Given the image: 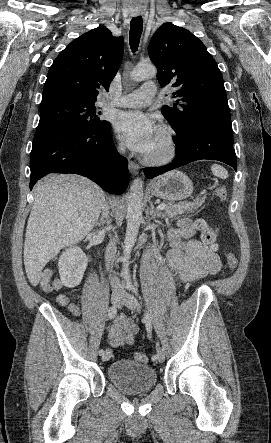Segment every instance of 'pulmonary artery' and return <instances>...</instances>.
<instances>
[{
    "label": "pulmonary artery",
    "instance_id": "1",
    "mask_svg": "<svg viewBox=\"0 0 271 443\" xmlns=\"http://www.w3.org/2000/svg\"><path fill=\"white\" fill-rule=\"evenodd\" d=\"M156 87L153 83L148 82L131 93L123 94L118 97H110L106 104L118 107L138 108L143 107L152 101L156 95Z\"/></svg>",
    "mask_w": 271,
    "mask_h": 443
}]
</instances>
